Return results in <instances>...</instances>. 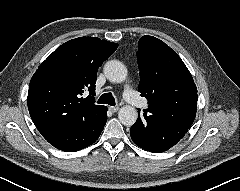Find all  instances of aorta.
<instances>
[{"mask_svg": "<svg viewBox=\"0 0 240 191\" xmlns=\"http://www.w3.org/2000/svg\"><path fill=\"white\" fill-rule=\"evenodd\" d=\"M104 74L110 82L122 83L127 78V68L122 62L111 60L104 65ZM118 118L123 125L132 126L138 118V113L134 107L125 105L120 108Z\"/></svg>", "mask_w": 240, "mask_h": 191, "instance_id": "1", "label": "aorta"}]
</instances>
